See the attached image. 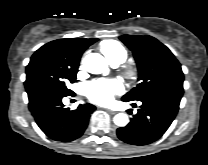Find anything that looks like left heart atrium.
<instances>
[{
	"instance_id": "1",
	"label": "left heart atrium",
	"mask_w": 208,
	"mask_h": 165,
	"mask_svg": "<svg viewBox=\"0 0 208 165\" xmlns=\"http://www.w3.org/2000/svg\"><path fill=\"white\" fill-rule=\"evenodd\" d=\"M122 84L115 79H97L86 85L85 94L94 103L106 105L122 93Z\"/></svg>"
}]
</instances>
